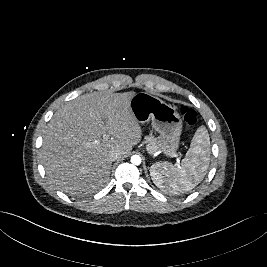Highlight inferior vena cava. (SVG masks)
<instances>
[{
  "instance_id": "602c4592",
  "label": "inferior vena cava",
  "mask_w": 267,
  "mask_h": 267,
  "mask_svg": "<svg viewBox=\"0 0 267 267\" xmlns=\"http://www.w3.org/2000/svg\"><path fill=\"white\" fill-rule=\"evenodd\" d=\"M121 157H122V153H121L120 150H112V151L110 152V159H111L112 161H115V160H117V159H120Z\"/></svg>"
}]
</instances>
